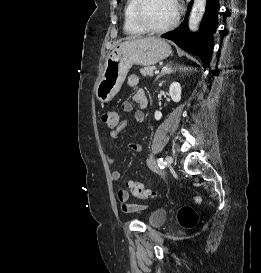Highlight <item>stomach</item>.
Masks as SVG:
<instances>
[{"instance_id": "obj_1", "label": "stomach", "mask_w": 261, "mask_h": 273, "mask_svg": "<svg viewBox=\"0 0 261 273\" xmlns=\"http://www.w3.org/2000/svg\"><path fill=\"white\" fill-rule=\"evenodd\" d=\"M171 54L170 45L159 38L145 37L119 44L108 55L101 80L96 86V98L111 101L120 90L132 65L151 66Z\"/></svg>"}]
</instances>
